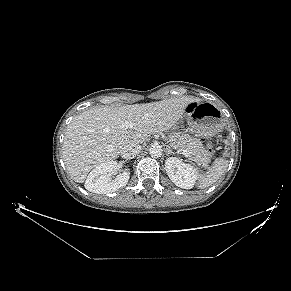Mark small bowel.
Listing matches in <instances>:
<instances>
[{"mask_svg":"<svg viewBox=\"0 0 291 291\" xmlns=\"http://www.w3.org/2000/svg\"><path fill=\"white\" fill-rule=\"evenodd\" d=\"M194 107H195V103L190 102V103L187 104V106H186V110H187V111H191V110L194 109Z\"/></svg>","mask_w":291,"mask_h":291,"instance_id":"1","label":"small bowel"}]
</instances>
